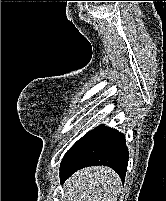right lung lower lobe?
<instances>
[{"mask_svg":"<svg viewBox=\"0 0 166 201\" xmlns=\"http://www.w3.org/2000/svg\"><path fill=\"white\" fill-rule=\"evenodd\" d=\"M128 148L122 133L100 125L78 140L65 154L60 167V180L65 181L78 169L104 165L114 169L124 181Z\"/></svg>","mask_w":166,"mask_h":201,"instance_id":"right-lung-lower-lobe-1","label":"right lung lower lobe"}]
</instances>
